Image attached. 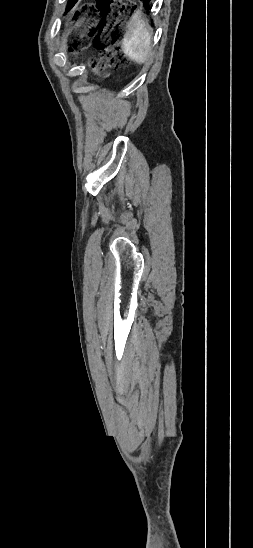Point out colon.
<instances>
[{"instance_id": "5ec220e1", "label": "colon", "mask_w": 253, "mask_h": 548, "mask_svg": "<svg viewBox=\"0 0 253 548\" xmlns=\"http://www.w3.org/2000/svg\"><path fill=\"white\" fill-rule=\"evenodd\" d=\"M130 0H96L83 5L76 13L70 49L79 53L92 42L99 51L94 71L106 76L109 70L125 67L128 58L122 53L123 24L133 13Z\"/></svg>"}]
</instances>
